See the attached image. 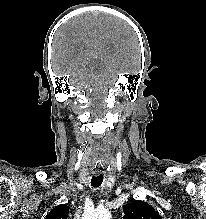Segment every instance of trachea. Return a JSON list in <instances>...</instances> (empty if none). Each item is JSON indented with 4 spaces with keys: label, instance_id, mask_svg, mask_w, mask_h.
I'll use <instances>...</instances> for the list:
<instances>
[{
    "label": "trachea",
    "instance_id": "obj_1",
    "mask_svg": "<svg viewBox=\"0 0 206 219\" xmlns=\"http://www.w3.org/2000/svg\"><path fill=\"white\" fill-rule=\"evenodd\" d=\"M103 182V175L93 176L91 179V186L96 188L99 187Z\"/></svg>",
    "mask_w": 206,
    "mask_h": 219
}]
</instances>
